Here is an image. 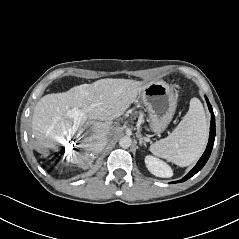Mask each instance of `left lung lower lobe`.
I'll list each match as a JSON object with an SVG mask.
<instances>
[{"mask_svg":"<svg viewBox=\"0 0 239 239\" xmlns=\"http://www.w3.org/2000/svg\"><path fill=\"white\" fill-rule=\"evenodd\" d=\"M209 110L211 112V124H210V134H209V142L208 145L206 147L205 152L203 153L202 157L199 159V161L197 162V164L195 165V167L181 180L173 182V183H179V182H184L186 180H188L189 178H191L192 176H194L197 172H199L204 165L206 164L207 160L210 157L212 148H213V144H214V140H215V115L212 111V106L210 105L208 99L206 98Z\"/></svg>","mask_w":239,"mask_h":239,"instance_id":"1","label":"left lung lower lobe"}]
</instances>
